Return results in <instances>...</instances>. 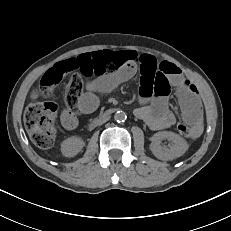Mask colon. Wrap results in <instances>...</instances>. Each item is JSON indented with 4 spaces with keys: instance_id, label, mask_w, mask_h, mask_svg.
<instances>
[{
    "instance_id": "5ec220e1",
    "label": "colon",
    "mask_w": 231,
    "mask_h": 231,
    "mask_svg": "<svg viewBox=\"0 0 231 231\" xmlns=\"http://www.w3.org/2000/svg\"><path fill=\"white\" fill-rule=\"evenodd\" d=\"M52 83L41 80L38 88L32 95L31 102L24 113V124L32 142L40 148H48L53 144L56 134V116L58 107L49 100H40L41 96L48 99L52 95ZM158 87L163 88V94L168 92L167 85L159 80ZM180 87L190 93H196V88L188 80L180 82ZM177 131L184 137H192L194 128L186 123L180 122L176 126Z\"/></svg>"
}]
</instances>
